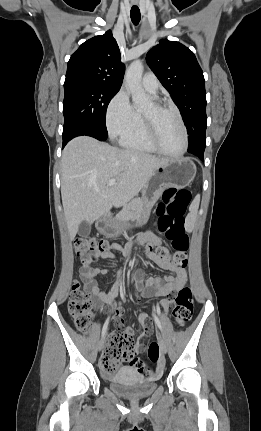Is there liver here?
Instances as JSON below:
<instances>
[{
  "label": "liver",
  "instance_id": "1",
  "mask_svg": "<svg viewBox=\"0 0 261 431\" xmlns=\"http://www.w3.org/2000/svg\"><path fill=\"white\" fill-rule=\"evenodd\" d=\"M167 161L87 136L71 140L61 159V197L70 239L81 222L91 224L138 195ZM110 179H116L115 185L108 186Z\"/></svg>",
  "mask_w": 261,
  "mask_h": 431
}]
</instances>
